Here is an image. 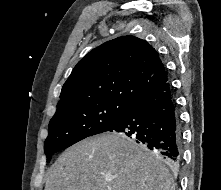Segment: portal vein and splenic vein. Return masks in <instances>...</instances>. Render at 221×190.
I'll use <instances>...</instances> for the list:
<instances>
[{
	"instance_id": "portal-vein-and-splenic-vein-1",
	"label": "portal vein and splenic vein",
	"mask_w": 221,
	"mask_h": 190,
	"mask_svg": "<svg viewBox=\"0 0 221 190\" xmlns=\"http://www.w3.org/2000/svg\"><path fill=\"white\" fill-rule=\"evenodd\" d=\"M107 180H108V181H111V179H110V178H107Z\"/></svg>"
}]
</instances>
